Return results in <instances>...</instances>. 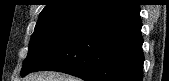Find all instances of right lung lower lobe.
Here are the masks:
<instances>
[{"label": "right lung lower lobe", "instance_id": "1", "mask_svg": "<svg viewBox=\"0 0 169 81\" xmlns=\"http://www.w3.org/2000/svg\"><path fill=\"white\" fill-rule=\"evenodd\" d=\"M139 13V5L126 0L86 21L34 71H59L85 81H142Z\"/></svg>", "mask_w": 169, "mask_h": 81}]
</instances>
